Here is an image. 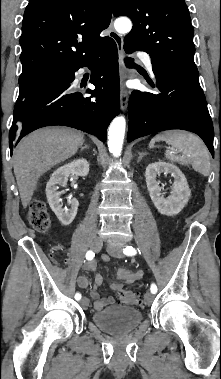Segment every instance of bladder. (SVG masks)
<instances>
[{
  "label": "bladder",
  "instance_id": "obj_1",
  "mask_svg": "<svg viewBox=\"0 0 221 379\" xmlns=\"http://www.w3.org/2000/svg\"><path fill=\"white\" fill-rule=\"evenodd\" d=\"M140 310L129 307L113 305L94 312L92 322L103 332L112 336H124L135 330L142 321Z\"/></svg>",
  "mask_w": 221,
  "mask_h": 379
}]
</instances>
